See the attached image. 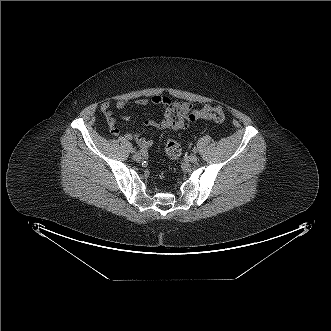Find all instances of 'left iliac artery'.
<instances>
[{
  "label": "left iliac artery",
  "mask_w": 331,
  "mask_h": 331,
  "mask_svg": "<svg viewBox=\"0 0 331 331\" xmlns=\"http://www.w3.org/2000/svg\"><path fill=\"white\" fill-rule=\"evenodd\" d=\"M193 152L196 153L197 152V149L196 148H193Z\"/></svg>",
  "instance_id": "1"
}]
</instances>
